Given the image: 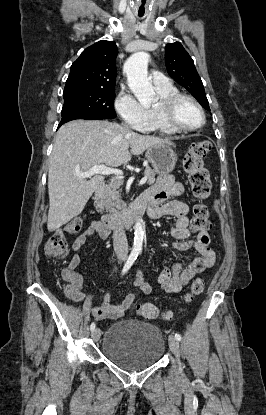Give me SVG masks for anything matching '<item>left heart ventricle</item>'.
<instances>
[{
  "mask_svg": "<svg viewBox=\"0 0 266 415\" xmlns=\"http://www.w3.org/2000/svg\"><path fill=\"white\" fill-rule=\"evenodd\" d=\"M176 118L180 124L188 127L197 126L202 121L199 110L187 100L179 102L176 109Z\"/></svg>",
  "mask_w": 266,
  "mask_h": 415,
  "instance_id": "b2bd125f",
  "label": "left heart ventricle"
}]
</instances>
